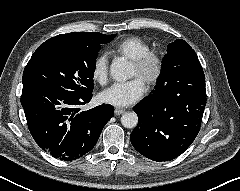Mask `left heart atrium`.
<instances>
[{
	"instance_id": "obj_1",
	"label": "left heart atrium",
	"mask_w": 240,
	"mask_h": 191,
	"mask_svg": "<svg viewBox=\"0 0 240 191\" xmlns=\"http://www.w3.org/2000/svg\"><path fill=\"white\" fill-rule=\"evenodd\" d=\"M144 93V83L141 79L134 78L124 83H114L101 93L100 98L104 103L126 107L141 99Z\"/></svg>"
}]
</instances>
